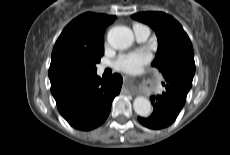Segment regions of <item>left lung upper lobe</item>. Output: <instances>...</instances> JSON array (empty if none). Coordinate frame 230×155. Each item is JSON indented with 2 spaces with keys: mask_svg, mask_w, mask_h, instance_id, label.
Listing matches in <instances>:
<instances>
[{
  "mask_svg": "<svg viewBox=\"0 0 230 155\" xmlns=\"http://www.w3.org/2000/svg\"><path fill=\"white\" fill-rule=\"evenodd\" d=\"M132 18L151 26L158 37L152 66L162 72L165 80H178L191 87L195 74L194 51L180 23L163 12H141Z\"/></svg>",
  "mask_w": 230,
  "mask_h": 155,
  "instance_id": "1",
  "label": "left lung upper lobe"
}]
</instances>
